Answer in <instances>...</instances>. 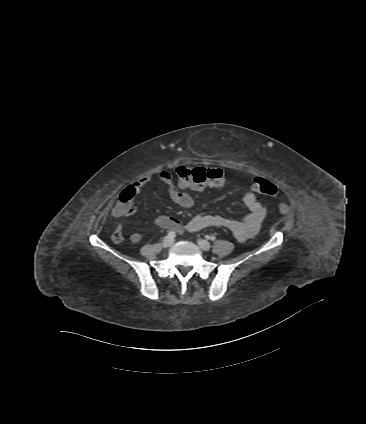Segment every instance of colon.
I'll list each match as a JSON object with an SVG mask.
<instances>
[{"mask_svg":"<svg viewBox=\"0 0 366 424\" xmlns=\"http://www.w3.org/2000/svg\"><path fill=\"white\" fill-rule=\"evenodd\" d=\"M222 172L217 173L214 168H189L179 166L176 168V175L181 185L190 188H204L216 182V178L221 176ZM253 189L261 194L268 196H276L278 194L277 187L263 178H256L253 184ZM135 190L132 188L126 189L121 195L114 212L119 217L129 216L134 213L135 206L133 198ZM278 210L282 214L289 212V205L285 202L278 204Z\"/></svg>","mask_w":366,"mask_h":424,"instance_id":"1","label":"colon"}]
</instances>
